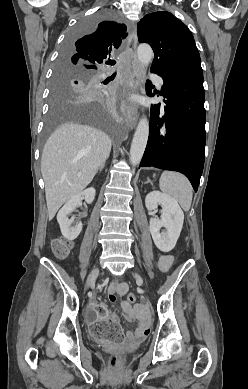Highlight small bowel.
I'll return each instance as SVG.
<instances>
[{"mask_svg":"<svg viewBox=\"0 0 248 389\" xmlns=\"http://www.w3.org/2000/svg\"><path fill=\"white\" fill-rule=\"evenodd\" d=\"M174 263V258L171 255H164L160 258L159 266L163 272H167L172 264ZM128 291V286L125 283H113L108 289V298L110 301H115L118 296L126 295ZM96 306L95 303L92 304ZM122 309L126 314V318L130 322L138 321V327L135 332L126 331L123 344L130 348H136L139 346L149 335L150 327L146 315V310L144 306H131L127 301H122ZM87 317L91 321H96L95 309L91 308L87 311ZM108 318L117 322L118 319L115 315L108 314Z\"/></svg>","mask_w":248,"mask_h":389,"instance_id":"small-bowel-1","label":"small bowel"}]
</instances>
